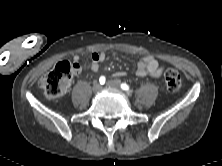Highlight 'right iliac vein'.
Wrapping results in <instances>:
<instances>
[{
    "mask_svg": "<svg viewBox=\"0 0 222 166\" xmlns=\"http://www.w3.org/2000/svg\"><path fill=\"white\" fill-rule=\"evenodd\" d=\"M102 89V85L100 83H94L92 90L93 92H99Z\"/></svg>",
    "mask_w": 222,
    "mask_h": 166,
    "instance_id": "1",
    "label": "right iliac vein"
}]
</instances>
